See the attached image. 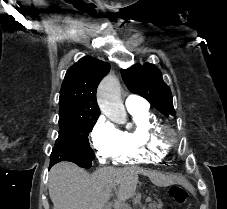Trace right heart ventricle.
<instances>
[{"instance_id":"e07e8e85","label":"right heart ventricle","mask_w":227,"mask_h":209,"mask_svg":"<svg viewBox=\"0 0 227 209\" xmlns=\"http://www.w3.org/2000/svg\"><path fill=\"white\" fill-rule=\"evenodd\" d=\"M131 125L121 132L120 144L112 157L115 165H136L163 160L168 150L153 142L150 131L160 121L148 108H127Z\"/></svg>"}]
</instances>
